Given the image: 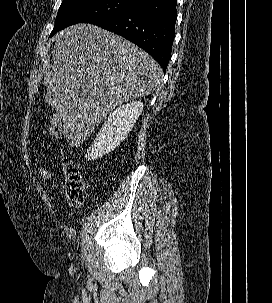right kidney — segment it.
<instances>
[{
  "instance_id": "right-kidney-1",
  "label": "right kidney",
  "mask_w": 272,
  "mask_h": 303,
  "mask_svg": "<svg viewBox=\"0 0 272 303\" xmlns=\"http://www.w3.org/2000/svg\"><path fill=\"white\" fill-rule=\"evenodd\" d=\"M143 107L142 102L136 101L119 106L109 114L85 158L88 161L97 160L118 147L134 127Z\"/></svg>"
}]
</instances>
